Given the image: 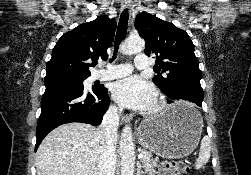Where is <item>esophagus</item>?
<instances>
[{
	"mask_svg": "<svg viewBox=\"0 0 251 175\" xmlns=\"http://www.w3.org/2000/svg\"><path fill=\"white\" fill-rule=\"evenodd\" d=\"M121 119L124 121V122H127L130 120V117L127 115V114H123Z\"/></svg>",
	"mask_w": 251,
	"mask_h": 175,
	"instance_id": "esophagus-1",
	"label": "esophagus"
}]
</instances>
